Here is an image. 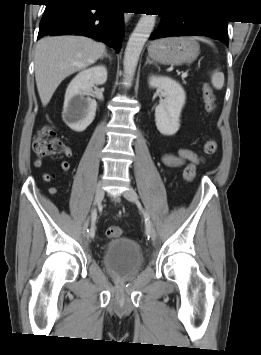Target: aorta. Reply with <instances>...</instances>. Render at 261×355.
Segmentation results:
<instances>
[{"instance_id":"aorta-1","label":"aorta","mask_w":261,"mask_h":355,"mask_svg":"<svg viewBox=\"0 0 261 355\" xmlns=\"http://www.w3.org/2000/svg\"><path fill=\"white\" fill-rule=\"evenodd\" d=\"M155 15L142 14L132 32L124 54V75L132 79L138 64L141 51L155 26Z\"/></svg>"}]
</instances>
